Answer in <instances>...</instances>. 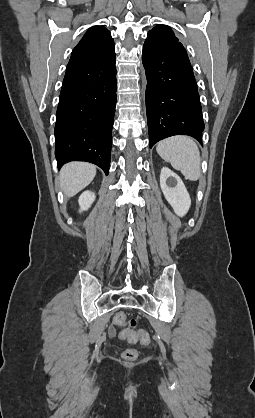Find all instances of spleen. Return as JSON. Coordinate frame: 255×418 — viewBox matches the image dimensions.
<instances>
[{
    "instance_id": "obj_1",
    "label": "spleen",
    "mask_w": 255,
    "mask_h": 418,
    "mask_svg": "<svg viewBox=\"0 0 255 418\" xmlns=\"http://www.w3.org/2000/svg\"><path fill=\"white\" fill-rule=\"evenodd\" d=\"M159 156L180 171L191 181H197L201 175L200 152L195 141L185 135L166 138L157 144Z\"/></svg>"
}]
</instances>
